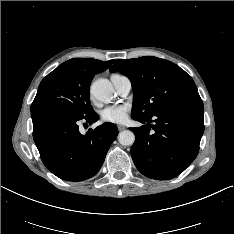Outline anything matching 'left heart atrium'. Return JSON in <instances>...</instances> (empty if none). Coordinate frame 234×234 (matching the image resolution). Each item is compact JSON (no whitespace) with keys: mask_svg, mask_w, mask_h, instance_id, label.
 <instances>
[{"mask_svg":"<svg viewBox=\"0 0 234 234\" xmlns=\"http://www.w3.org/2000/svg\"><path fill=\"white\" fill-rule=\"evenodd\" d=\"M101 119L106 123L122 124L129 116V106L126 104L107 106L101 111Z\"/></svg>","mask_w":234,"mask_h":234,"instance_id":"1","label":"left heart atrium"}]
</instances>
